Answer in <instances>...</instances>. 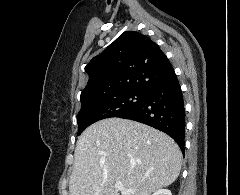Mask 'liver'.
Segmentation results:
<instances>
[{
  "label": "liver",
  "mask_w": 240,
  "mask_h": 195,
  "mask_svg": "<svg viewBox=\"0 0 240 195\" xmlns=\"http://www.w3.org/2000/svg\"><path fill=\"white\" fill-rule=\"evenodd\" d=\"M181 161L179 145L163 131L132 119L107 117L79 135L69 193L150 195L177 179ZM116 181L134 193L116 189Z\"/></svg>",
  "instance_id": "6515ba94"
}]
</instances>
